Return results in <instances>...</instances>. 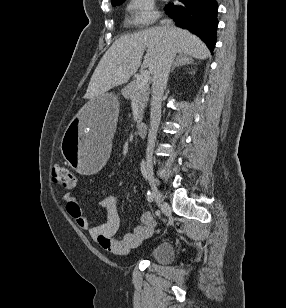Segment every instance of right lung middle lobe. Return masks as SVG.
<instances>
[{"label":"right lung middle lobe","instance_id":"1","mask_svg":"<svg viewBox=\"0 0 286 308\" xmlns=\"http://www.w3.org/2000/svg\"><path fill=\"white\" fill-rule=\"evenodd\" d=\"M124 1H125V0H115V1L112 2V5H113V6L120 5V4H122Z\"/></svg>","mask_w":286,"mask_h":308}]
</instances>
